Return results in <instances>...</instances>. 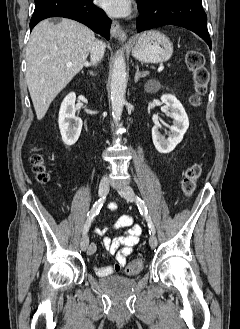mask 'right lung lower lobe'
<instances>
[{
	"label": "right lung lower lobe",
	"instance_id": "right-lung-lower-lobe-1",
	"mask_svg": "<svg viewBox=\"0 0 240 329\" xmlns=\"http://www.w3.org/2000/svg\"><path fill=\"white\" fill-rule=\"evenodd\" d=\"M49 17H65L79 21L107 40L110 38V19L93 0H35L30 28Z\"/></svg>",
	"mask_w": 240,
	"mask_h": 329
}]
</instances>
